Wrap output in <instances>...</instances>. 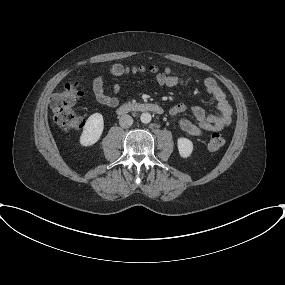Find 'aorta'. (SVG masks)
Here are the masks:
<instances>
[{"label": "aorta", "instance_id": "1", "mask_svg": "<svg viewBox=\"0 0 285 285\" xmlns=\"http://www.w3.org/2000/svg\"><path fill=\"white\" fill-rule=\"evenodd\" d=\"M151 119H152V117H151L150 113H147V112L142 113L140 116V120L144 124L150 123Z\"/></svg>", "mask_w": 285, "mask_h": 285}]
</instances>
